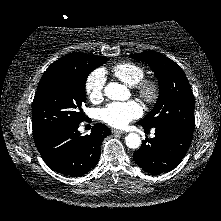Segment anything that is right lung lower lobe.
Instances as JSON below:
<instances>
[{
  "label": "right lung lower lobe",
  "mask_w": 221,
  "mask_h": 221,
  "mask_svg": "<svg viewBox=\"0 0 221 221\" xmlns=\"http://www.w3.org/2000/svg\"><path fill=\"white\" fill-rule=\"evenodd\" d=\"M79 124L58 128L35 140L41 157L52 170L77 177L96 166L101 142L111 131L98 123L93 126L90 135L82 136L78 131Z\"/></svg>",
  "instance_id": "98d812e1"
}]
</instances>
